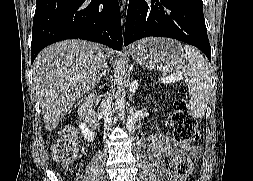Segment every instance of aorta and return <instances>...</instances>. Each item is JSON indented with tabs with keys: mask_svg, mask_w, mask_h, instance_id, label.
<instances>
[{
	"mask_svg": "<svg viewBox=\"0 0 253 181\" xmlns=\"http://www.w3.org/2000/svg\"><path fill=\"white\" fill-rule=\"evenodd\" d=\"M126 3H127V0H123V2H122L123 6H125ZM118 81H119V79H118ZM115 95H116V105L118 107V112H119L118 119L122 120V119H124L125 100H124V97L121 93V88L120 87H118ZM121 122L123 123L124 121L122 120Z\"/></svg>",
	"mask_w": 253,
	"mask_h": 181,
	"instance_id": "obj_1",
	"label": "aorta"
}]
</instances>
